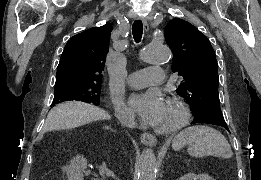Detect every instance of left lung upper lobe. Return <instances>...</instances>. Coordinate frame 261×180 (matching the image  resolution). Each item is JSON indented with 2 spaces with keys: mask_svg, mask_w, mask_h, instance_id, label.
Returning a JSON list of instances; mask_svg holds the SVG:
<instances>
[{
  "mask_svg": "<svg viewBox=\"0 0 261 180\" xmlns=\"http://www.w3.org/2000/svg\"><path fill=\"white\" fill-rule=\"evenodd\" d=\"M164 35L173 52L172 71L183 77L176 89L191 107L194 120L225 123L218 93V64L208 38L182 19H173Z\"/></svg>",
  "mask_w": 261,
  "mask_h": 180,
  "instance_id": "5c2ea615",
  "label": "left lung upper lobe"
}]
</instances>
